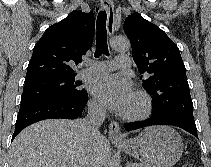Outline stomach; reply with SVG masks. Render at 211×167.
I'll use <instances>...</instances> for the list:
<instances>
[{
  "instance_id": "1",
  "label": "stomach",
  "mask_w": 211,
  "mask_h": 167,
  "mask_svg": "<svg viewBox=\"0 0 211 167\" xmlns=\"http://www.w3.org/2000/svg\"><path fill=\"white\" fill-rule=\"evenodd\" d=\"M116 145L145 167H173L183 153L180 135L167 126L145 128L138 137Z\"/></svg>"
}]
</instances>
